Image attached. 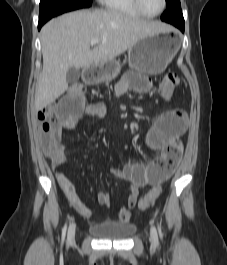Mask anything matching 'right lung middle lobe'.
Returning a JSON list of instances; mask_svg holds the SVG:
<instances>
[{
  "label": "right lung middle lobe",
  "mask_w": 227,
  "mask_h": 265,
  "mask_svg": "<svg viewBox=\"0 0 227 265\" xmlns=\"http://www.w3.org/2000/svg\"><path fill=\"white\" fill-rule=\"evenodd\" d=\"M92 0H41L39 23L44 24L49 19L67 11L90 7Z\"/></svg>",
  "instance_id": "dd1d6c3e"
}]
</instances>
